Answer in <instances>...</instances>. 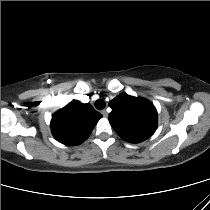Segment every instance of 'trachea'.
I'll list each match as a JSON object with an SVG mask.
<instances>
[{
  "label": "trachea",
  "mask_w": 210,
  "mask_h": 210,
  "mask_svg": "<svg viewBox=\"0 0 210 210\" xmlns=\"http://www.w3.org/2000/svg\"><path fill=\"white\" fill-rule=\"evenodd\" d=\"M105 105H106V103H105V101L102 100V99H99V100H97V101L95 102V107H96L98 110L104 109V108H105Z\"/></svg>",
  "instance_id": "obj_1"
}]
</instances>
